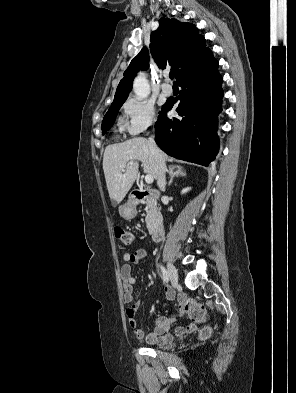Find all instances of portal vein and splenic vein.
I'll use <instances>...</instances> for the list:
<instances>
[{
	"label": "portal vein and splenic vein",
	"instance_id": "portal-vein-and-splenic-vein-1",
	"mask_svg": "<svg viewBox=\"0 0 296 393\" xmlns=\"http://www.w3.org/2000/svg\"><path fill=\"white\" fill-rule=\"evenodd\" d=\"M134 164H135V162H133V161L128 163V165H134ZM153 181H154V177L152 175H146L145 176V182L146 183L151 184V183H153Z\"/></svg>",
	"mask_w": 296,
	"mask_h": 393
}]
</instances>
